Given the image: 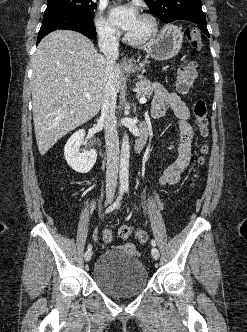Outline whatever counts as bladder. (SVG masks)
<instances>
[{
  "label": "bladder",
  "mask_w": 247,
  "mask_h": 332,
  "mask_svg": "<svg viewBox=\"0 0 247 332\" xmlns=\"http://www.w3.org/2000/svg\"><path fill=\"white\" fill-rule=\"evenodd\" d=\"M92 278L100 290L115 298L136 296L149 283L146 267L128 245L112 246L102 252L94 264Z\"/></svg>",
  "instance_id": "31cf9c89"
}]
</instances>
